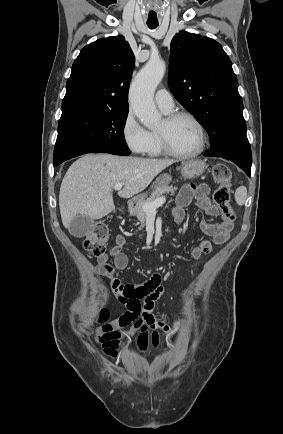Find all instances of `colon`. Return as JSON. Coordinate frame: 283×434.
Here are the masks:
<instances>
[{"label":"colon","mask_w":283,"mask_h":434,"mask_svg":"<svg viewBox=\"0 0 283 434\" xmlns=\"http://www.w3.org/2000/svg\"><path fill=\"white\" fill-rule=\"evenodd\" d=\"M213 178L218 183V188L213 194V200L216 206L219 208L224 221L233 222L235 219L234 211L231 207V190L230 179L231 171L224 164H216L213 167ZM109 238V231L107 226L100 222L97 224L94 230L89 232L84 240L83 246L93 256L99 257L104 255L107 248V242ZM107 312L105 310L100 311L98 315V322L103 323L107 319Z\"/></svg>","instance_id":"5ec220e1"}]
</instances>
